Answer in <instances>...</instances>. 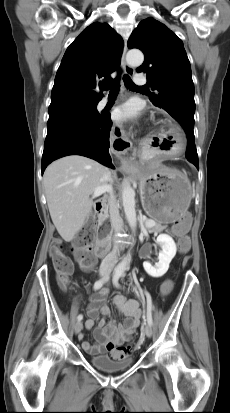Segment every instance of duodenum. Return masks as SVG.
<instances>
[{"instance_id":"obj_1","label":"duodenum","mask_w":230,"mask_h":413,"mask_svg":"<svg viewBox=\"0 0 230 413\" xmlns=\"http://www.w3.org/2000/svg\"><path fill=\"white\" fill-rule=\"evenodd\" d=\"M95 210L98 218L101 221V226L99 230V239L93 249V252L95 256L100 257L104 253L106 235L109 229V223L107 221L105 210V199L99 198L96 200Z\"/></svg>"}]
</instances>
